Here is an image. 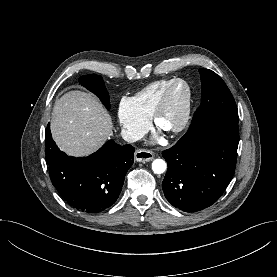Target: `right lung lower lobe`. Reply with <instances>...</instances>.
I'll use <instances>...</instances> for the list:
<instances>
[{"label":"right lung lower lobe","instance_id":"obj_1","mask_svg":"<svg viewBox=\"0 0 277 277\" xmlns=\"http://www.w3.org/2000/svg\"><path fill=\"white\" fill-rule=\"evenodd\" d=\"M50 178L64 200L77 210L99 213L117 200L125 175L134 162V147L113 140L85 158L67 156L45 132Z\"/></svg>","mask_w":277,"mask_h":277}]
</instances>
